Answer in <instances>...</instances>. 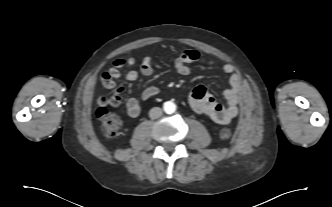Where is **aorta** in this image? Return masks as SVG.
I'll return each mask as SVG.
<instances>
[{"label": "aorta", "instance_id": "1", "mask_svg": "<svg viewBox=\"0 0 332 207\" xmlns=\"http://www.w3.org/2000/svg\"><path fill=\"white\" fill-rule=\"evenodd\" d=\"M163 109L167 114H173L176 111V105L172 101H167L163 105Z\"/></svg>", "mask_w": 332, "mask_h": 207}]
</instances>
